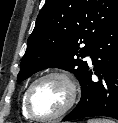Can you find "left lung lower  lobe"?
I'll list each match as a JSON object with an SVG mask.
<instances>
[{"instance_id":"left-lung-lower-lobe-1","label":"left lung lower lobe","mask_w":118,"mask_h":123,"mask_svg":"<svg viewBox=\"0 0 118 123\" xmlns=\"http://www.w3.org/2000/svg\"><path fill=\"white\" fill-rule=\"evenodd\" d=\"M90 57L99 80L92 81L88 68L81 83V100L63 121L94 116L118 119V18L97 39Z\"/></svg>"}]
</instances>
